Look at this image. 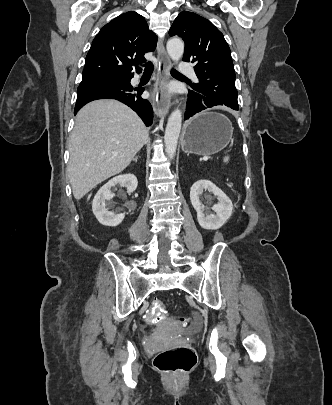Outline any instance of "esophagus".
<instances>
[{"label":"esophagus","mask_w":332,"mask_h":405,"mask_svg":"<svg viewBox=\"0 0 332 405\" xmlns=\"http://www.w3.org/2000/svg\"><path fill=\"white\" fill-rule=\"evenodd\" d=\"M158 63H159V76L157 80V88L153 101L154 111L157 116L161 117L169 112L170 96L166 92L165 85L169 80V69L171 61L167 55L163 43H158Z\"/></svg>","instance_id":"obj_1"}]
</instances>
